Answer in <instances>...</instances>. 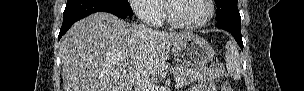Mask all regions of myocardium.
Segmentation results:
<instances>
[{"mask_svg": "<svg viewBox=\"0 0 304 91\" xmlns=\"http://www.w3.org/2000/svg\"><path fill=\"white\" fill-rule=\"evenodd\" d=\"M179 0H167L164 1V8H165V15L167 22L170 26L177 28V29H184V30H195L206 26L214 15V1L213 0H205L206 4L208 5V14L205 19L201 22L195 24H186L179 20H177L173 15V3Z\"/></svg>", "mask_w": 304, "mask_h": 91, "instance_id": "f54148a6", "label": "myocardium"}]
</instances>
